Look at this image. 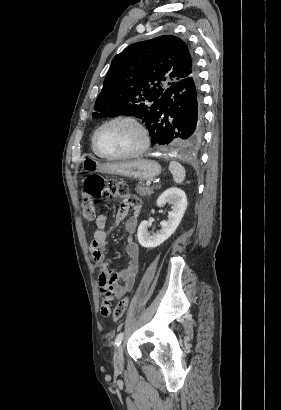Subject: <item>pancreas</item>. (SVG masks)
<instances>
[{
	"label": "pancreas",
	"mask_w": 281,
	"mask_h": 410,
	"mask_svg": "<svg viewBox=\"0 0 281 410\" xmlns=\"http://www.w3.org/2000/svg\"><path fill=\"white\" fill-rule=\"evenodd\" d=\"M154 188L145 186L144 184L140 183L136 186V191L141 196L151 195L153 193Z\"/></svg>",
	"instance_id": "cf45deb5"
}]
</instances>
